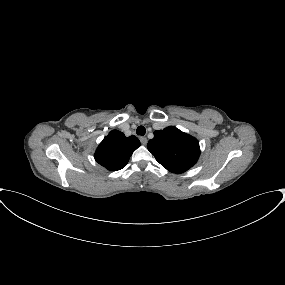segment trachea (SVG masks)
<instances>
[{"instance_id":"obj_1","label":"trachea","mask_w":285,"mask_h":285,"mask_svg":"<svg viewBox=\"0 0 285 285\" xmlns=\"http://www.w3.org/2000/svg\"><path fill=\"white\" fill-rule=\"evenodd\" d=\"M136 133L140 136H144L145 133H146V129L144 126H139L137 129H136Z\"/></svg>"}]
</instances>
